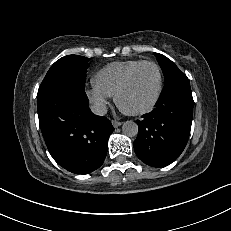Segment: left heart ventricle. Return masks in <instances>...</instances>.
I'll return each mask as SVG.
<instances>
[{"instance_id":"left-heart-ventricle-1","label":"left heart ventricle","mask_w":231,"mask_h":231,"mask_svg":"<svg viewBox=\"0 0 231 231\" xmlns=\"http://www.w3.org/2000/svg\"><path fill=\"white\" fill-rule=\"evenodd\" d=\"M158 84L156 69L151 65L142 66L133 76L131 83L121 96V104L128 110H138L153 99Z\"/></svg>"}]
</instances>
